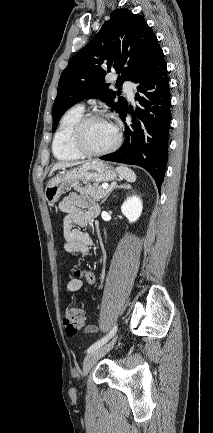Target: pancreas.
I'll return each mask as SVG.
<instances>
[{
    "label": "pancreas",
    "instance_id": "1",
    "mask_svg": "<svg viewBox=\"0 0 213 433\" xmlns=\"http://www.w3.org/2000/svg\"><path fill=\"white\" fill-rule=\"evenodd\" d=\"M74 190L79 192L81 195L90 196L94 201H100L106 195V191L98 184H87L84 187L74 185Z\"/></svg>",
    "mask_w": 213,
    "mask_h": 433
}]
</instances>
